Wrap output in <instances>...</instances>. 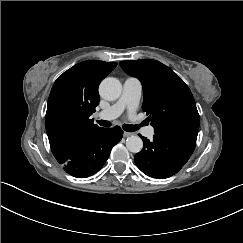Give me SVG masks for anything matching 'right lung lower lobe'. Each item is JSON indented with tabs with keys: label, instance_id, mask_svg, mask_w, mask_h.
<instances>
[{
	"label": "right lung lower lobe",
	"instance_id": "98d812e1",
	"mask_svg": "<svg viewBox=\"0 0 243 243\" xmlns=\"http://www.w3.org/2000/svg\"><path fill=\"white\" fill-rule=\"evenodd\" d=\"M120 127L100 128L88 136L82 144L71 151L62 163L64 170L74 176L85 178L98 172L107 161L111 149L122 138Z\"/></svg>",
	"mask_w": 243,
	"mask_h": 243
}]
</instances>
